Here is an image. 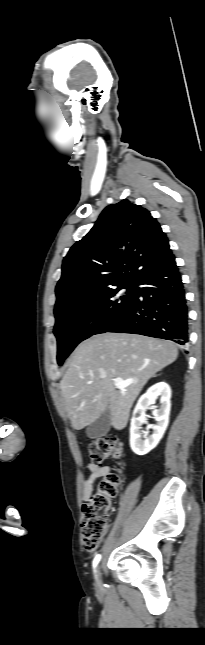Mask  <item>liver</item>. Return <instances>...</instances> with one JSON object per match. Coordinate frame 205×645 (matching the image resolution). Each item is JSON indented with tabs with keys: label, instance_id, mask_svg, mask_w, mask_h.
I'll return each instance as SVG.
<instances>
[{
	"label": "liver",
	"instance_id": "1",
	"mask_svg": "<svg viewBox=\"0 0 205 645\" xmlns=\"http://www.w3.org/2000/svg\"><path fill=\"white\" fill-rule=\"evenodd\" d=\"M177 356L174 343L136 334H97L81 342L60 383L72 427L85 428L109 408L111 425L124 429L147 381ZM116 378L133 383L116 390Z\"/></svg>",
	"mask_w": 205,
	"mask_h": 645
}]
</instances>
